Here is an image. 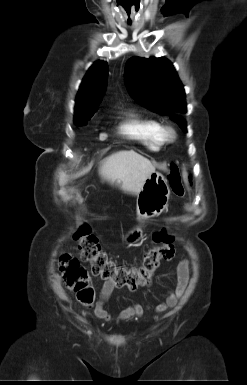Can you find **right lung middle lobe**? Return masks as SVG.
Returning <instances> with one entry per match:
<instances>
[{"label": "right lung middle lobe", "mask_w": 247, "mask_h": 385, "mask_svg": "<svg viewBox=\"0 0 247 385\" xmlns=\"http://www.w3.org/2000/svg\"><path fill=\"white\" fill-rule=\"evenodd\" d=\"M94 115V112L83 113V114H75V122L78 125H85L88 120Z\"/></svg>", "instance_id": "right-lung-middle-lobe-1"}]
</instances>
